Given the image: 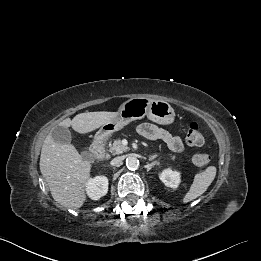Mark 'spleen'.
<instances>
[{
	"label": "spleen",
	"instance_id": "spleen-1",
	"mask_svg": "<svg viewBox=\"0 0 261 261\" xmlns=\"http://www.w3.org/2000/svg\"><path fill=\"white\" fill-rule=\"evenodd\" d=\"M216 171V167L209 166L205 171L196 174L189 191L185 194L182 201L188 203L202 195L214 180Z\"/></svg>",
	"mask_w": 261,
	"mask_h": 261
}]
</instances>
